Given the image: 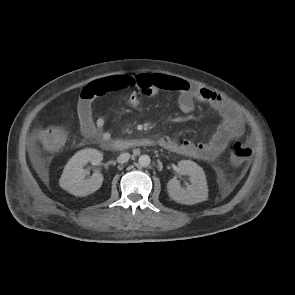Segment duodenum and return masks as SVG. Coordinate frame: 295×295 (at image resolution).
<instances>
[{"label": "duodenum", "mask_w": 295, "mask_h": 295, "mask_svg": "<svg viewBox=\"0 0 295 295\" xmlns=\"http://www.w3.org/2000/svg\"><path fill=\"white\" fill-rule=\"evenodd\" d=\"M151 139H125V140H110L102 142V147L107 151H123L137 147L151 146Z\"/></svg>", "instance_id": "1"}]
</instances>
